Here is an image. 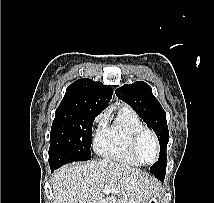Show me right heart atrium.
<instances>
[{
	"mask_svg": "<svg viewBox=\"0 0 214 203\" xmlns=\"http://www.w3.org/2000/svg\"><path fill=\"white\" fill-rule=\"evenodd\" d=\"M95 122H97V123L103 122V117L101 115L97 116L95 118Z\"/></svg>",
	"mask_w": 214,
	"mask_h": 203,
	"instance_id": "d8ad5b80",
	"label": "right heart atrium"
}]
</instances>
